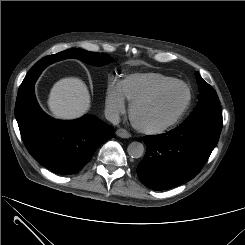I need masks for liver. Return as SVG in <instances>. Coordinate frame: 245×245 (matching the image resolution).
Returning a JSON list of instances; mask_svg holds the SVG:
<instances>
[{"label":"liver","instance_id":"1","mask_svg":"<svg viewBox=\"0 0 245 245\" xmlns=\"http://www.w3.org/2000/svg\"><path fill=\"white\" fill-rule=\"evenodd\" d=\"M48 106L56 118L72 120L81 117L90 108L86 84L76 77L58 80L50 91Z\"/></svg>","mask_w":245,"mask_h":245}]
</instances>
